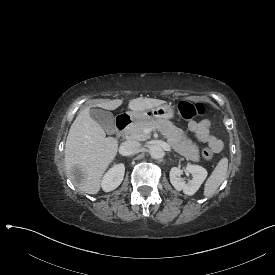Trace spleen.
Returning a JSON list of instances; mask_svg holds the SVG:
<instances>
[{"mask_svg": "<svg viewBox=\"0 0 275 275\" xmlns=\"http://www.w3.org/2000/svg\"><path fill=\"white\" fill-rule=\"evenodd\" d=\"M228 170V158H222L216 165L212 174L206 179L203 195L212 196L226 179Z\"/></svg>", "mask_w": 275, "mask_h": 275, "instance_id": "spleen-1", "label": "spleen"}]
</instances>
